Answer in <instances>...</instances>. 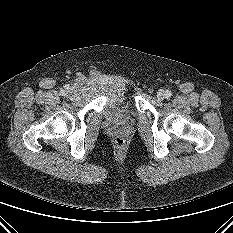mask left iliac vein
Instances as JSON below:
<instances>
[{"label":"left iliac vein","mask_w":233,"mask_h":233,"mask_svg":"<svg viewBox=\"0 0 233 233\" xmlns=\"http://www.w3.org/2000/svg\"><path fill=\"white\" fill-rule=\"evenodd\" d=\"M165 97H166L165 91L159 90V91L157 92V98H158V99L163 100Z\"/></svg>","instance_id":"4c4485c4"}]
</instances>
